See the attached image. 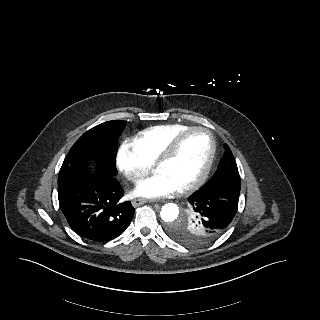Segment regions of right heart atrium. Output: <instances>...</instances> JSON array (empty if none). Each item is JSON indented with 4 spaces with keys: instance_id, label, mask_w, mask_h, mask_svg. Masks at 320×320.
<instances>
[{
    "instance_id": "obj_1",
    "label": "right heart atrium",
    "mask_w": 320,
    "mask_h": 320,
    "mask_svg": "<svg viewBox=\"0 0 320 320\" xmlns=\"http://www.w3.org/2000/svg\"><path fill=\"white\" fill-rule=\"evenodd\" d=\"M117 164L121 173L132 182L140 180L152 163L146 160L133 140H125L118 151Z\"/></svg>"
}]
</instances>
